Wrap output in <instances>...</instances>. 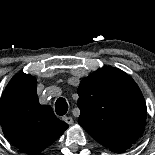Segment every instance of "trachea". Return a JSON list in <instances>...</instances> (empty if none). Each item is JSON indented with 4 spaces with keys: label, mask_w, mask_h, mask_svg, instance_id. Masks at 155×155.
Here are the masks:
<instances>
[{
    "label": "trachea",
    "mask_w": 155,
    "mask_h": 155,
    "mask_svg": "<svg viewBox=\"0 0 155 155\" xmlns=\"http://www.w3.org/2000/svg\"><path fill=\"white\" fill-rule=\"evenodd\" d=\"M68 104L64 98L57 99L55 103V111L58 115L63 116L67 113Z\"/></svg>",
    "instance_id": "trachea-1"
}]
</instances>
